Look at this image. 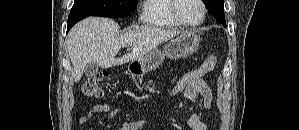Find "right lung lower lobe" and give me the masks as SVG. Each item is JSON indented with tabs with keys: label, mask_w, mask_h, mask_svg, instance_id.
Returning <instances> with one entry per match:
<instances>
[{
	"label": "right lung lower lobe",
	"mask_w": 299,
	"mask_h": 130,
	"mask_svg": "<svg viewBox=\"0 0 299 130\" xmlns=\"http://www.w3.org/2000/svg\"><path fill=\"white\" fill-rule=\"evenodd\" d=\"M83 18H85V15L70 14L69 17H68L67 32L72 28V26L76 22L80 21Z\"/></svg>",
	"instance_id": "obj_1"
}]
</instances>
